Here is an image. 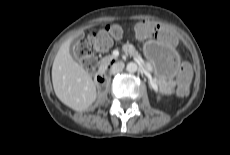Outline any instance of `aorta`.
<instances>
[{
  "instance_id": "aorta-1",
  "label": "aorta",
  "mask_w": 230,
  "mask_h": 155,
  "mask_svg": "<svg viewBox=\"0 0 230 155\" xmlns=\"http://www.w3.org/2000/svg\"><path fill=\"white\" fill-rule=\"evenodd\" d=\"M138 69V66L136 63L134 62H130L127 64L126 66V70L129 72V73H135Z\"/></svg>"
}]
</instances>
